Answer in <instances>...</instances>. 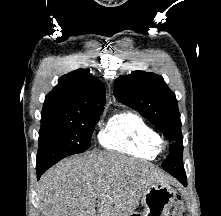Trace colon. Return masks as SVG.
<instances>
[{
    "mask_svg": "<svg viewBox=\"0 0 221 216\" xmlns=\"http://www.w3.org/2000/svg\"><path fill=\"white\" fill-rule=\"evenodd\" d=\"M183 212H184V203L181 196H179L169 216H183Z\"/></svg>",
    "mask_w": 221,
    "mask_h": 216,
    "instance_id": "5ec220e1",
    "label": "colon"
}]
</instances>
